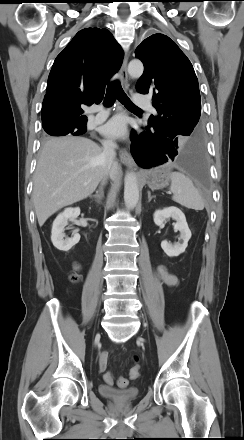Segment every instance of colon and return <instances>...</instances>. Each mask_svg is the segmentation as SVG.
I'll return each mask as SVG.
<instances>
[{
    "instance_id": "colon-1",
    "label": "colon",
    "mask_w": 244,
    "mask_h": 440,
    "mask_svg": "<svg viewBox=\"0 0 244 440\" xmlns=\"http://www.w3.org/2000/svg\"><path fill=\"white\" fill-rule=\"evenodd\" d=\"M79 279V275L77 272H75L72 277L71 280L76 282ZM139 377V367L135 366L131 369L130 372V378L135 380ZM104 381L108 384V385H113L114 384V377L112 375L111 372H106L104 374ZM116 384L119 388H126L128 386V379L125 377H119L116 381Z\"/></svg>"
}]
</instances>
